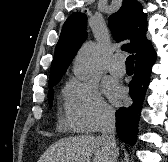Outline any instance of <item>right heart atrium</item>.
<instances>
[{"instance_id":"obj_1","label":"right heart atrium","mask_w":168,"mask_h":162,"mask_svg":"<svg viewBox=\"0 0 168 162\" xmlns=\"http://www.w3.org/2000/svg\"><path fill=\"white\" fill-rule=\"evenodd\" d=\"M115 111L104 100L98 86L92 81L71 78L65 87L63 121L77 132H96L109 125Z\"/></svg>"}]
</instances>
